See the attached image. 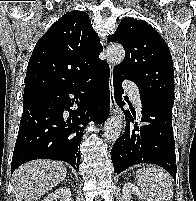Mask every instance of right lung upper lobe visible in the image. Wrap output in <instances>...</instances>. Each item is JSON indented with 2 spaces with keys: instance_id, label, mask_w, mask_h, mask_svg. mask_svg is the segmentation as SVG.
<instances>
[{
  "instance_id": "obj_1",
  "label": "right lung upper lobe",
  "mask_w": 196,
  "mask_h": 201,
  "mask_svg": "<svg viewBox=\"0 0 196 201\" xmlns=\"http://www.w3.org/2000/svg\"><path fill=\"white\" fill-rule=\"evenodd\" d=\"M103 51L87 13L71 11L39 39L30 57L23 97L73 83L101 62Z\"/></svg>"
}]
</instances>
